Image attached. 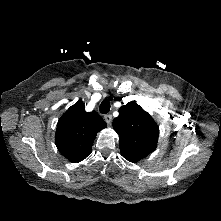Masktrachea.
Instances as JSON below:
<instances>
[{"label": "trachea", "mask_w": 221, "mask_h": 221, "mask_svg": "<svg viewBox=\"0 0 221 221\" xmlns=\"http://www.w3.org/2000/svg\"><path fill=\"white\" fill-rule=\"evenodd\" d=\"M99 111L102 114H106L110 111V102H109V100L102 101V103L100 104V107H99Z\"/></svg>", "instance_id": "3493384b"}]
</instances>
